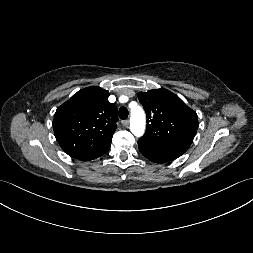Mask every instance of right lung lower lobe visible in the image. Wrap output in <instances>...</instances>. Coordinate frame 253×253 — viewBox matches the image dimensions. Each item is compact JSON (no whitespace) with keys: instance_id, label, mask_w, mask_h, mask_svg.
Segmentation results:
<instances>
[{"instance_id":"98d812e1","label":"right lung lower lobe","mask_w":253,"mask_h":253,"mask_svg":"<svg viewBox=\"0 0 253 253\" xmlns=\"http://www.w3.org/2000/svg\"><path fill=\"white\" fill-rule=\"evenodd\" d=\"M109 148H110V145H107L103 148H100V149L94 151V152L85 154V155L79 157L78 159L82 160V161H89V160L96 159V158L102 156L103 154H105L109 150Z\"/></svg>"}]
</instances>
